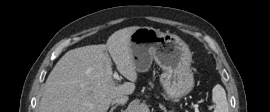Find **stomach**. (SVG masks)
Instances as JSON below:
<instances>
[{"instance_id": "1", "label": "stomach", "mask_w": 270, "mask_h": 112, "mask_svg": "<svg viewBox=\"0 0 270 112\" xmlns=\"http://www.w3.org/2000/svg\"><path fill=\"white\" fill-rule=\"evenodd\" d=\"M130 48L137 72L147 71L152 61L164 70L160 81L170 99L182 98L192 91V55L188 45L177 35L139 27L131 35Z\"/></svg>"}]
</instances>
